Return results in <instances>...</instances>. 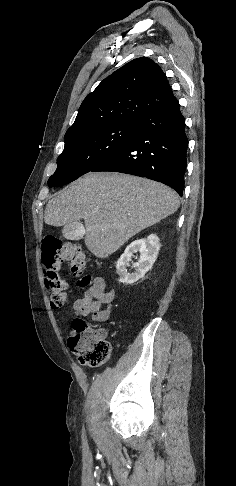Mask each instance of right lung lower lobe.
<instances>
[{
  "mask_svg": "<svg viewBox=\"0 0 236 486\" xmlns=\"http://www.w3.org/2000/svg\"><path fill=\"white\" fill-rule=\"evenodd\" d=\"M187 148L185 119L177 102L139 119L134 137L92 172L145 177L170 186L182 196Z\"/></svg>",
  "mask_w": 236,
  "mask_h": 486,
  "instance_id": "98d812e1",
  "label": "right lung lower lobe"
}]
</instances>
